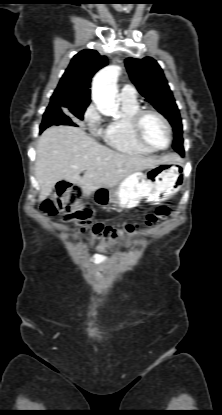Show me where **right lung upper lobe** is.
Masks as SVG:
<instances>
[{"mask_svg":"<svg viewBox=\"0 0 222 415\" xmlns=\"http://www.w3.org/2000/svg\"><path fill=\"white\" fill-rule=\"evenodd\" d=\"M107 64V58L95 50L85 49L76 54L54 91L50 105L72 103L89 105L91 79Z\"/></svg>","mask_w":222,"mask_h":415,"instance_id":"cb5924a9","label":"right lung upper lobe"}]
</instances>
